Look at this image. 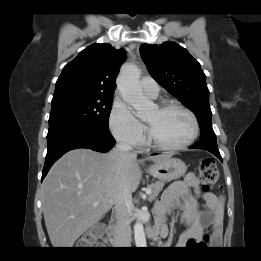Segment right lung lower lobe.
<instances>
[{"instance_id": "right-lung-lower-lobe-1", "label": "right lung lower lobe", "mask_w": 261, "mask_h": 261, "mask_svg": "<svg viewBox=\"0 0 261 261\" xmlns=\"http://www.w3.org/2000/svg\"><path fill=\"white\" fill-rule=\"evenodd\" d=\"M48 151L42 172V180L51 166L64 153L76 148H89L108 152L115 144L109 129L90 124H65L49 128Z\"/></svg>"}]
</instances>
